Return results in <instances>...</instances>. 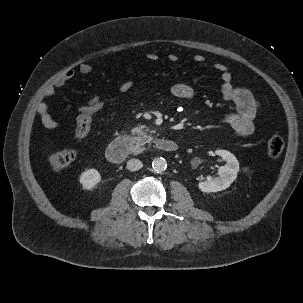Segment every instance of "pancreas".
<instances>
[{
    "mask_svg": "<svg viewBox=\"0 0 303 303\" xmlns=\"http://www.w3.org/2000/svg\"><path fill=\"white\" fill-rule=\"evenodd\" d=\"M132 135H137V137L134 138V141H136L137 145H144L146 143H150L153 139V137L149 134L150 130L148 128H145L141 125H138L137 127L133 128L131 130Z\"/></svg>",
    "mask_w": 303,
    "mask_h": 303,
    "instance_id": "obj_1",
    "label": "pancreas"
}]
</instances>
